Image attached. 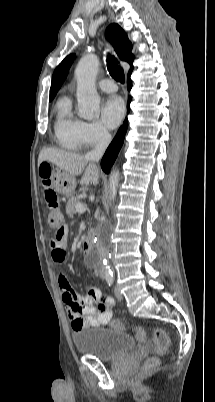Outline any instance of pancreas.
Segmentation results:
<instances>
[{
	"instance_id": "cf45deb5",
	"label": "pancreas",
	"mask_w": 215,
	"mask_h": 402,
	"mask_svg": "<svg viewBox=\"0 0 215 402\" xmlns=\"http://www.w3.org/2000/svg\"><path fill=\"white\" fill-rule=\"evenodd\" d=\"M80 203L79 199L72 196L69 198L67 205H66V214L70 217L76 213V205Z\"/></svg>"
}]
</instances>
